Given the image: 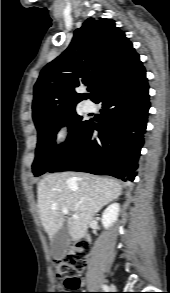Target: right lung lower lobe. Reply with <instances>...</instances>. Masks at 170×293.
<instances>
[{
	"label": "right lung lower lobe",
	"instance_id": "obj_1",
	"mask_svg": "<svg viewBox=\"0 0 170 293\" xmlns=\"http://www.w3.org/2000/svg\"><path fill=\"white\" fill-rule=\"evenodd\" d=\"M148 89L143 66L104 89L94 101L102 104L101 121H88L49 172L80 171L133 181L150 108ZM94 130L99 136L92 135Z\"/></svg>",
	"mask_w": 170,
	"mask_h": 293
}]
</instances>
